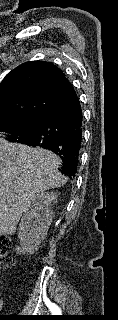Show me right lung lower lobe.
<instances>
[{
    "label": "right lung lower lobe",
    "instance_id": "98d812e1",
    "mask_svg": "<svg viewBox=\"0 0 118 320\" xmlns=\"http://www.w3.org/2000/svg\"><path fill=\"white\" fill-rule=\"evenodd\" d=\"M82 118L79 99L75 96L57 106L38 131L16 142L51 150L63 161L60 171L74 177L82 140Z\"/></svg>",
    "mask_w": 118,
    "mask_h": 320
}]
</instances>
